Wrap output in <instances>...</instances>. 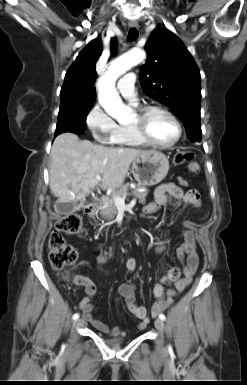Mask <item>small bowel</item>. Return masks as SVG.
<instances>
[{"instance_id": "1", "label": "small bowel", "mask_w": 247, "mask_h": 385, "mask_svg": "<svg viewBox=\"0 0 247 385\" xmlns=\"http://www.w3.org/2000/svg\"><path fill=\"white\" fill-rule=\"evenodd\" d=\"M178 185L174 183H165L160 185L155 191V201L147 205L145 212L152 214L160 209L162 206L172 205L174 207H180L182 205H191L199 207L201 205L200 194L196 189H189L183 191L180 186L185 185L183 179H178ZM185 230L183 232L184 242L176 249V255L178 260L182 263V274L179 268L172 267L168 269L165 275H163L159 282L153 288V296L156 299L152 308L151 314L157 316L166 307L173 302V297L177 293L183 292L190 284L193 275L195 274L199 256L197 252L196 239L193 231L194 223L192 221L184 222ZM165 246L158 242L156 244V250L163 252ZM111 253L104 250L99 253L97 257L98 269L106 274V270L102 267L103 264L111 259ZM126 268L130 272L137 270V262L134 258H129L126 261ZM84 282V287L87 296L80 302V308L83 313V317L88 321L95 329L114 337H122L125 335V331L117 326L110 327L97 319L93 315L94 305L91 302L92 297L96 292L94 283L86 276H77ZM167 285L172 287L166 288ZM125 301L126 310L136 319L139 320L137 324V330H144L149 323L148 310L144 305H137L135 303L134 287L130 283H123L118 287V297L116 302L119 303L120 299Z\"/></svg>"}]
</instances>
